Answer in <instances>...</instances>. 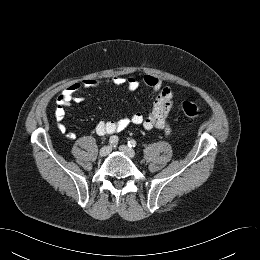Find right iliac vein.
I'll use <instances>...</instances> for the list:
<instances>
[{
  "mask_svg": "<svg viewBox=\"0 0 260 260\" xmlns=\"http://www.w3.org/2000/svg\"><path fill=\"white\" fill-rule=\"evenodd\" d=\"M111 150V146H104L100 149L99 154L100 156L105 157L111 152Z\"/></svg>",
  "mask_w": 260,
  "mask_h": 260,
  "instance_id": "obj_1",
  "label": "right iliac vein"
}]
</instances>
